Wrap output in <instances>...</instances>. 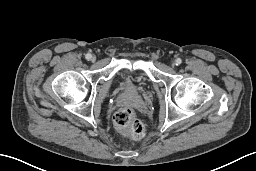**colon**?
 Returning <instances> with one entry per match:
<instances>
[{"label": "colon", "mask_w": 256, "mask_h": 171, "mask_svg": "<svg viewBox=\"0 0 256 171\" xmlns=\"http://www.w3.org/2000/svg\"><path fill=\"white\" fill-rule=\"evenodd\" d=\"M114 123L122 132L130 135L134 140L145 136V126L131 108H123L115 113Z\"/></svg>", "instance_id": "1"}]
</instances>
